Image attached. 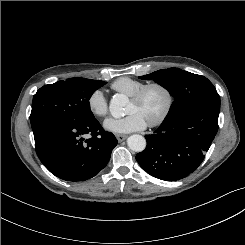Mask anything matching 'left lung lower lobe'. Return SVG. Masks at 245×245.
Segmentation results:
<instances>
[{
	"label": "left lung lower lobe",
	"instance_id": "0a47b994",
	"mask_svg": "<svg viewBox=\"0 0 245 245\" xmlns=\"http://www.w3.org/2000/svg\"><path fill=\"white\" fill-rule=\"evenodd\" d=\"M219 111L198 108L146 135V149L136 155L151 176L177 181L195 171L204 159L217 131Z\"/></svg>",
	"mask_w": 245,
	"mask_h": 245
}]
</instances>
